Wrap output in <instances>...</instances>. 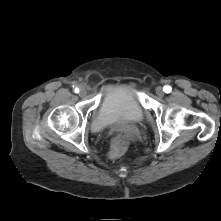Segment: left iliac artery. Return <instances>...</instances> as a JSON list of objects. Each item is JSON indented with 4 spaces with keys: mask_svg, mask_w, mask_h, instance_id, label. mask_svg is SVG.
<instances>
[{
    "mask_svg": "<svg viewBox=\"0 0 221 221\" xmlns=\"http://www.w3.org/2000/svg\"><path fill=\"white\" fill-rule=\"evenodd\" d=\"M163 90L165 93H170L172 88L169 85H166V86H164Z\"/></svg>",
    "mask_w": 221,
    "mask_h": 221,
    "instance_id": "1",
    "label": "left iliac artery"
}]
</instances>
